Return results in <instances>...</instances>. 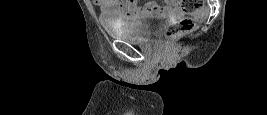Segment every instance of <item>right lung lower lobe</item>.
Masks as SVG:
<instances>
[{
  "instance_id": "98d812e1",
  "label": "right lung lower lobe",
  "mask_w": 267,
  "mask_h": 115,
  "mask_svg": "<svg viewBox=\"0 0 267 115\" xmlns=\"http://www.w3.org/2000/svg\"><path fill=\"white\" fill-rule=\"evenodd\" d=\"M139 89L156 90L158 89V87H144V88H139Z\"/></svg>"
}]
</instances>
